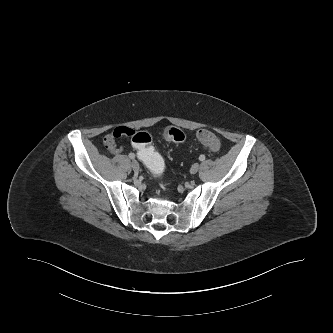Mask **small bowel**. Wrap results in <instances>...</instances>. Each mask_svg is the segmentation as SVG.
I'll return each instance as SVG.
<instances>
[{"instance_id":"c3829d8e","label":"small bowel","mask_w":333,"mask_h":333,"mask_svg":"<svg viewBox=\"0 0 333 333\" xmlns=\"http://www.w3.org/2000/svg\"><path fill=\"white\" fill-rule=\"evenodd\" d=\"M135 137V130L128 127H115L111 130L110 134L104 137L103 143L109 153L117 155L122 152V148L117 144H122L125 141L131 142Z\"/></svg>"}]
</instances>
